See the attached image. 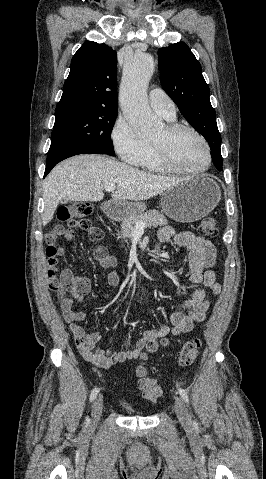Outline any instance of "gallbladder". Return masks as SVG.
Segmentation results:
<instances>
[{
	"label": "gallbladder",
	"instance_id": "obj_1",
	"mask_svg": "<svg viewBox=\"0 0 266 479\" xmlns=\"http://www.w3.org/2000/svg\"><path fill=\"white\" fill-rule=\"evenodd\" d=\"M68 202H69V199H67V198H63V199L60 200L61 204H66Z\"/></svg>",
	"mask_w": 266,
	"mask_h": 479
}]
</instances>
